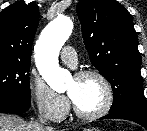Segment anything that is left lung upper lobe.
<instances>
[{"label":"left lung upper lobe","instance_id":"1","mask_svg":"<svg viewBox=\"0 0 147 131\" xmlns=\"http://www.w3.org/2000/svg\"><path fill=\"white\" fill-rule=\"evenodd\" d=\"M76 11L91 63L112 86L109 112H147L131 14L115 0H80Z\"/></svg>","mask_w":147,"mask_h":131}]
</instances>
